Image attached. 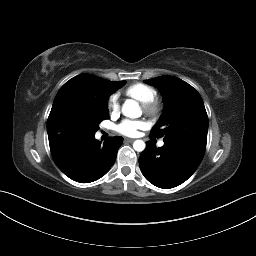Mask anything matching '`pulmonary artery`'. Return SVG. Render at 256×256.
<instances>
[{
    "label": "pulmonary artery",
    "instance_id": "e3ab8cb5",
    "mask_svg": "<svg viewBox=\"0 0 256 256\" xmlns=\"http://www.w3.org/2000/svg\"><path fill=\"white\" fill-rule=\"evenodd\" d=\"M163 145H164V141L163 140L159 141L158 146L162 147Z\"/></svg>",
    "mask_w": 256,
    "mask_h": 256
}]
</instances>
